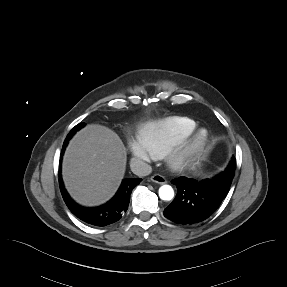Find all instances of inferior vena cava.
<instances>
[{"label":"inferior vena cava","mask_w":287,"mask_h":287,"mask_svg":"<svg viewBox=\"0 0 287 287\" xmlns=\"http://www.w3.org/2000/svg\"><path fill=\"white\" fill-rule=\"evenodd\" d=\"M130 167L132 172L139 177L147 176L152 172L151 166L138 158L131 159Z\"/></svg>","instance_id":"inferior-vena-cava-1"}]
</instances>
